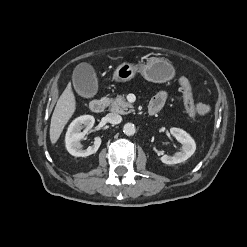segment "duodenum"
Returning <instances> with one entry per match:
<instances>
[{
  "mask_svg": "<svg viewBox=\"0 0 247 247\" xmlns=\"http://www.w3.org/2000/svg\"><path fill=\"white\" fill-rule=\"evenodd\" d=\"M107 105H108V99L106 97H100V98H95L91 100L89 103V108L94 113H100L104 111ZM148 114L154 115L155 112L149 109Z\"/></svg>",
  "mask_w": 247,
  "mask_h": 247,
  "instance_id": "1",
  "label": "duodenum"
}]
</instances>
